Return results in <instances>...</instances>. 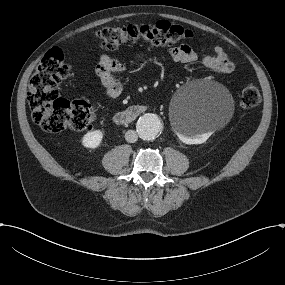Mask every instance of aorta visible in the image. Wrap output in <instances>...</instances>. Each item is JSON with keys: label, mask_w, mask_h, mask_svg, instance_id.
Returning <instances> with one entry per match:
<instances>
[{"label": "aorta", "mask_w": 285, "mask_h": 285, "mask_svg": "<svg viewBox=\"0 0 285 285\" xmlns=\"http://www.w3.org/2000/svg\"><path fill=\"white\" fill-rule=\"evenodd\" d=\"M161 122L155 114H145L137 121V132L143 140H153L161 131Z\"/></svg>", "instance_id": "obj_1"}]
</instances>
